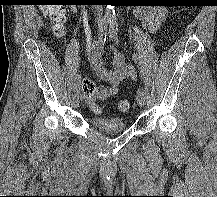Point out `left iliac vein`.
<instances>
[{"instance_id":"left-iliac-vein-1","label":"left iliac vein","mask_w":217,"mask_h":197,"mask_svg":"<svg viewBox=\"0 0 217 197\" xmlns=\"http://www.w3.org/2000/svg\"><path fill=\"white\" fill-rule=\"evenodd\" d=\"M137 102L140 106H144L146 103V93L143 88L137 90Z\"/></svg>"}]
</instances>
